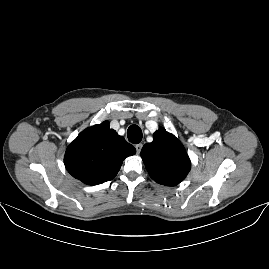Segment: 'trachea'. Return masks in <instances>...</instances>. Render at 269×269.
Here are the masks:
<instances>
[{"label": "trachea", "instance_id": "trachea-1", "mask_svg": "<svg viewBox=\"0 0 269 269\" xmlns=\"http://www.w3.org/2000/svg\"><path fill=\"white\" fill-rule=\"evenodd\" d=\"M128 140L131 143L138 144L142 140L143 134L141 128L137 125H132L127 131Z\"/></svg>", "mask_w": 269, "mask_h": 269}]
</instances>
